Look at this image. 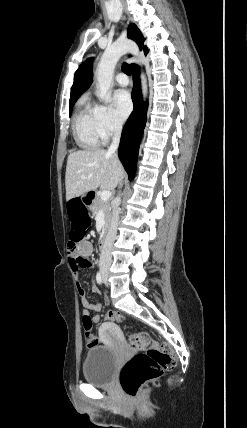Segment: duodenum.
I'll return each instance as SVG.
<instances>
[{
  "mask_svg": "<svg viewBox=\"0 0 247 428\" xmlns=\"http://www.w3.org/2000/svg\"><path fill=\"white\" fill-rule=\"evenodd\" d=\"M93 198V194L92 193H88L87 194V201L91 202ZM108 232H109V228L108 226H105V228L103 229L101 236H100V240H99V249L103 250L106 246L107 243V239H108Z\"/></svg>",
  "mask_w": 247,
  "mask_h": 428,
  "instance_id": "410a0bca",
  "label": "duodenum"
}]
</instances>
